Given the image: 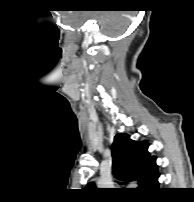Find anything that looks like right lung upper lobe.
Instances as JSON below:
<instances>
[{"label": "right lung upper lobe", "instance_id": "obj_1", "mask_svg": "<svg viewBox=\"0 0 194 202\" xmlns=\"http://www.w3.org/2000/svg\"><path fill=\"white\" fill-rule=\"evenodd\" d=\"M148 146L147 141H133L129 135L120 133L115 136L111 147L114 176L123 181L138 182L140 191H150L159 185L156 158L150 156Z\"/></svg>", "mask_w": 194, "mask_h": 202}]
</instances>
